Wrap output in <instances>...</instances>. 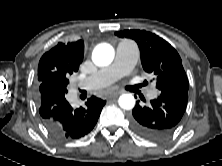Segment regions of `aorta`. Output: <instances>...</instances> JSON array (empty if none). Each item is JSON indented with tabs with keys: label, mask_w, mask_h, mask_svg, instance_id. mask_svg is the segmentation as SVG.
<instances>
[{
	"label": "aorta",
	"mask_w": 222,
	"mask_h": 166,
	"mask_svg": "<svg viewBox=\"0 0 222 166\" xmlns=\"http://www.w3.org/2000/svg\"><path fill=\"white\" fill-rule=\"evenodd\" d=\"M114 48L107 43L97 45L92 53V60L97 66H107L114 59ZM119 106L125 110H131L135 106V98L131 94H122L118 100Z\"/></svg>",
	"instance_id": "762f6f07"
}]
</instances>
